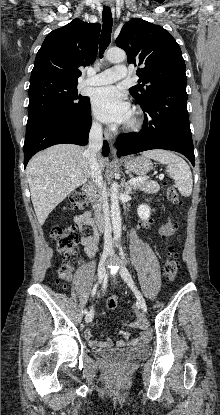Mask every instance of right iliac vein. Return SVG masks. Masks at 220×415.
Instances as JSON below:
<instances>
[{
    "label": "right iliac vein",
    "mask_w": 220,
    "mask_h": 415,
    "mask_svg": "<svg viewBox=\"0 0 220 415\" xmlns=\"http://www.w3.org/2000/svg\"><path fill=\"white\" fill-rule=\"evenodd\" d=\"M108 255H109V253H108V252H106V253L104 254V257H103V259L101 260V262H100V264H99V266H98V268H97V277H98V281H99V282H101V281H102V279H103V277H104V275H105V262H106V259H107ZM93 316H94V312H93V310H91V311H90V312L86 315V317H85V321H86L87 323L91 322V321L93 320Z\"/></svg>",
    "instance_id": "63e3f726"
}]
</instances>
